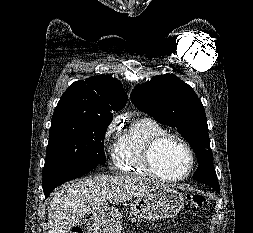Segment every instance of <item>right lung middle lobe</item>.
Instances as JSON below:
<instances>
[{
    "instance_id": "right-lung-middle-lobe-1",
    "label": "right lung middle lobe",
    "mask_w": 253,
    "mask_h": 233,
    "mask_svg": "<svg viewBox=\"0 0 253 233\" xmlns=\"http://www.w3.org/2000/svg\"><path fill=\"white\" fill-rule=\"evenodd\" d=\"M113 116L55 110L43 173L60 166L106 162L104 136Z\"/></svg>"
}]
</instances>
